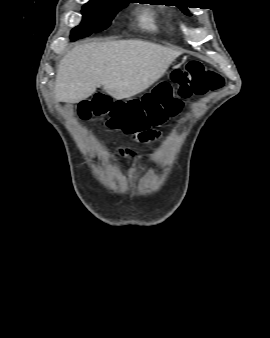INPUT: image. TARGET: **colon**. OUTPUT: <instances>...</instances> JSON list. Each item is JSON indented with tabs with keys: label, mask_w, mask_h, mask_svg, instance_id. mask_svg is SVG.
<instances>
[{
	"label": "colon",
	"mask_w": 270,
	"mask_h": 338,
	"mask_svg": "<svg viewBox=\"0 0 270 338\" xmlns=\"http://www.w3.org/2000/svg\"><path fill=\"white\" fill-rule=\"evenodd\" d=\"M171 81L160 83L141 99L129 101L112 102L107 94L98 91L82 104L80 117L88 120L109 114L112 128L136 134L137 139L145 143L158 135L151 127L161 126L180 111L181 99L193 93L202 95L223 85L222 77L207 71L198 60L190 61L185 71H174Z\"/></svg>",
	"instance_id": "colon-1"
}]
</instances>
